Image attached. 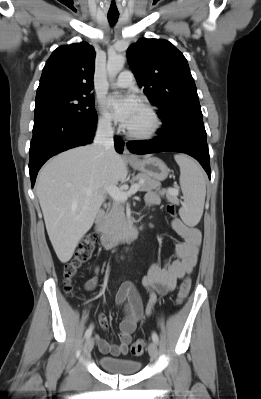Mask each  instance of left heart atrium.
<instances>
[{"mask_svg":"<svg viewBox=\"0 0 261 399\" xmlns=\"http://www.w3.org/2000/svg\"><path fill=\"white\" fill-rule=\"evenodd\" d=\"M105 104L113 117L126 128L143 108L141 102L134 95L111 96Z\"/></svg>","mask_w":261,"mask_h":399,"instance_id":"left-heart-atrium-1","label":"left heart atrium"}]
</instances>
